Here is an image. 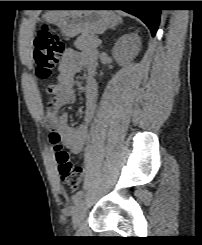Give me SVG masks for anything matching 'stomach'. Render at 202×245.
<instances>
[{"instance_id":"obj_1","label":"stomach","mask_w":202,"mask_h":245,"mask_svg":"<svg viewBox=\"0 0 202 245\" xmlns=\"http://www.w3.org/2000/svg\"><path fill=\"white\" fill-rule=\"evenodd\" d=\"M43 18L45 22L58 26L68 37L80 33L99 34L114 28L119 22L118 16L107 10L49 11Z\"/></svg>"}]
</instances>
